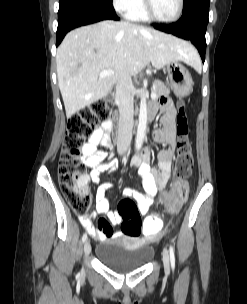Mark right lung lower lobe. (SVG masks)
<instances>
[{
  "instance_id": "98d812e1",
  "label": "right lung lower lobe",
  "mask_w": 247,
  "mask_h": 304,
  "mask_svg": "<svg viewBox=\"0 0 247 304\" xmlns=\"http://www.w3.org/2000/svg\"><path fill=\"white\" fill-rule=\"evenodd\" d=\"M56 46L70 30L101 20H119L112 3L97 0H60Z\"/></svg>"
}]
</instances>
